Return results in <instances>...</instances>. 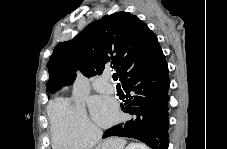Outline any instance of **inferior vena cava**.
Returning a JSON list of instances; mask_svg holds the SVG:
<instances>
[{"label": "inferior vena cava", "instance_id": "inferior-vena-cava-1", "mask_svg": "<svg viewBox=\"0 0 227 149\" xmlns=\"http://www.w3.org/2000/svg\"><path fill=\"white\" fill-rule=\"evenodd\" d=\"M101 135H102L101 131L95 132V134H94V139H95V140L100 139V138H101Z\"/></svg>", "mask_w": 227, "mask_h": 149}]
</instances>
